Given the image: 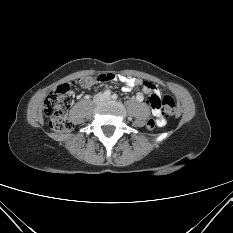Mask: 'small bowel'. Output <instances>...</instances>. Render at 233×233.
Masks as SVG:
<instances>
[{"label":"small bowel","mask_w":233,"mask_h":233,"mask_svg":"<svg viewBox=\"0 0 233 233\" xmlns=\"http://www.w3.org/2000/svg\"><path fill=\"white\" fill-rule=\"evenodd\" d=\"M95 79L98 82H102V83L120 81L121 83H123V91H125V92L130 91L135 86H141L144 93L149 95V99L152 96H158V97L160 96L159 89L156 86H154L152 83L147 82L145 80L126 77V76H122V75H115L114 73H104V74L98 73L95 76ZM81 83L82 82L79 81L78 79H72V80L68 81V86L69 87H79ZM149 84H152L153 88L149 87ZM136 99L141 102L144 100V96L142 94H138L136 96ZM149 99H148V103H149ZM151 107H152V114L155 117L157 126L158 127L165 126L166 119L163 116L161 110L157 107H153V106H151Z\"/></svg>","instance_id":"c3829d8e"}]
</instances>
